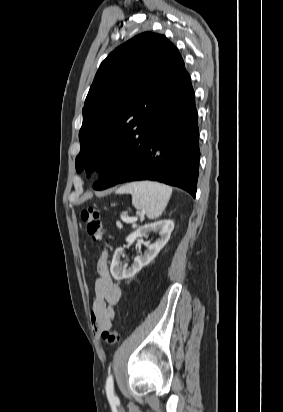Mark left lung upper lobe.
<instances>
[{
  "label": "left lung upper lobe",
  "mask_w": 283,
  "mask_h": 412,
  "mask_svg": "<svg viewBox=\"0 0 283 412\" xmlns=\"http://www.w3.org/2000/svg\"><path fill=\"white\" fill-rule=\"evenodd\" d=\"M177 48L145 32L101 63L83 108L77 172L101 171L119 148L145 136L188 77Z\"/></svg>",
  "instance_id": "5c2ea615"
}]
</instances>
